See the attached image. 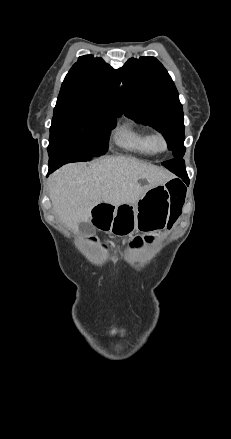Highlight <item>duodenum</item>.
Returning a JSON list of instances; mask_svg holds the SVG:
<instances>
[{"label": "duodenum", "mask_w": 231, "mask_h": 439, "mask_svg": "<svg viewBox=\"0 0 231 439\" xmlns=\"http://www.w3.org/2000/svg\"><path fill=\"white\" fill-rule=\"evenodd\" d=\"M109 208H110V205H108V204L103 203V204L98 205L96 207V209L98 211L97 217H99V218L105 217L108 214Z\"/></svg>", "instance_id": "duodenum-1"}]
</instances>
